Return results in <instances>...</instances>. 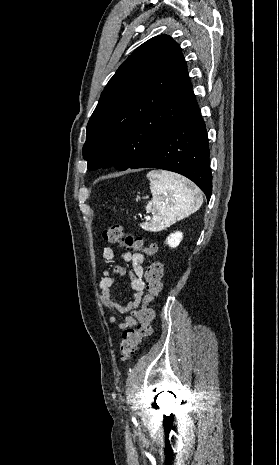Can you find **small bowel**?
Returning <instances> with one entry per match:
<instances>
[{"label": "small bowel", "instance_id": "1", "mask_svg": "<svg viewBox=\"0 0 279 465\" xmlns=\"http://www.w3.org/2000/svg\"><path fill=\"white\" fill-rule=\"evenodd\" d=\"M102 257L105 261L114 260V249L111 247H105L102 252ZM121 257L124 262L131 264L132 270L128 273L125 267L121 265H116L111 271L105 270L103 272V277L100 281V298L102 303L106 307L117 313L129 314L123 320H118V318L114 315L108 316V323L111 325H115L116 329L119 331L126 330L137 324V307L145 289L143 267L145 260L144 255L141 253L125 251L122 253ZM127 273L129 274L130 278V286L132 290L135 292V294L131 300H129L125 304H122L116 298L112 289L116 284L117 277H123Z\"/></svg>", "mask_w": 279, "mask_h": 465}]
</instances>
